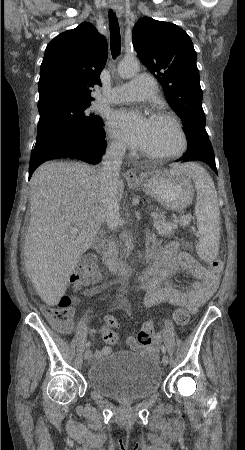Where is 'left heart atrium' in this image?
I'll return each instance as SVG.
<instances>
[{
	"instance_id": "obj_1",
	"label": "left heart atrium",
	"mask_w": 245,
	"mask_h": 450,
	"mask_svg": "<svg viewBox=\"0 0 245 450\" xmlns=\"http://www.w3.org/2000/svg\"><path fill=\"white\" fill-rule=\"evenodd\" d=\"M150 129L151 120L137 111L121 108L110 115L109 130L130 148H144Z\"/></svg>"
}]
</instances>
